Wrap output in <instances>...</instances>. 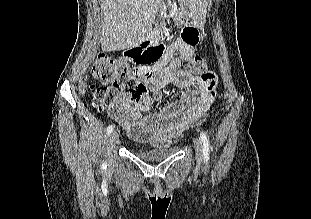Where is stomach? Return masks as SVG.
I'll use <instances>...</instances> for the list:
<instances>
[{"mask_svg": "<svg viewBox=\"0 0 311 219\" xmlns=\"http://www.w3.org/2000/svg\"><path fill=\"white\" fill-rule=\"evenodd\" d=\"M198 21L199 20L191 18L190 15L188 13H186L185 11H183L182 9H181V11L176 12L175 16H174V22L178 26L186 25L189 22L197 23Z\"/></svg>", "mask_w": 311, "mask_h": 219, "instance_id": "stomach-1", "label": "stomach"}]
</instances>
